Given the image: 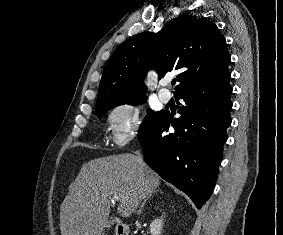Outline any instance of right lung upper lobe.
I'll return each instance as SVG.
<instances>
[{"label": "right lung upper lobe", "mask_w": 283, "mask_h": 235, "mask_svg": "<svg viewBox=\"0 0 283 235\" xmlns=\"http://www.w3.org/2000/svg\"><path fill=\"white\" fill-rule=\"evenodd\" d=\"M226 40L210 20L183 14L157 33L143 32L120 44L107 62L97 104L145 96L144 77L154 68L159 79L177 71L176 92L228 71Z\"/></svg>", "instance_id": "right-lung-upper-lobe-1"}]
</instances>
